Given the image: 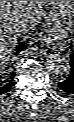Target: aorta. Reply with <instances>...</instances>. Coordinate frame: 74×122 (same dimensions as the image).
I'll return each mask as SVG.
<instances>
[{
    "instance_id": "762f6f07",
    "label": "aorta",
    "mask_w": 74,
    "mask_h": 122,
    "mask_svg": "<svg viewBox=\"0 0 74 122\" xmlns=\"http://www.w3.org/2000/svg\"><path fill=\"white\" fill-rule=\"evenodd\" d=\"M46 66L50 73L66 75L70 72V64L67 58L61 54H50L46 58Z\"/></svg>"
}]
</instances>
